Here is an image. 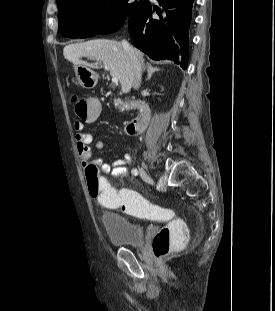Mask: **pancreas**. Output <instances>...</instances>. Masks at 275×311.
Segmentation results:
<instances>
[{
  "label": "pancreas",
  "instance_id": "pancreas-1",
  "mask_svg": "<svg viewBox=\"0 0 275 311\" xmlns=\"http://www.w3.org/2000/svg\"><path fill=\"white\" fill-rule=\"evenodd\" d=\"M115 103H117V100H115ZM124 104L121 102L119 105H117V106H119V107H122Z\"/></svg>",
  "mask_w": 275,
  "mask_h": 311
}]
</instances>
